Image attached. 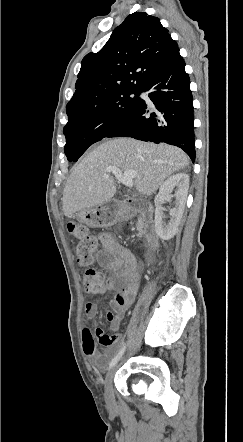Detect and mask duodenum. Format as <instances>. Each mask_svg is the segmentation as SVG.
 <instances>
[{"mask_svg": "<svg viewBox=\"0 0 243 442\" xmlns=\"http://www.w3.org/2000/svg\"><path fill=\"white\" fill-rule=\"evenodd\" d=\"M143 205H144L143 203L137 202L136 200H134L132 198H127L122 201L121 209L122 210L125 209L129 212L138 211L143 214L142 218L140 219V226H141L144 238L146 239V241L149 244L152 245V244H154V242L156 240L155 230L153 227L152 220L147 216V209L142 208Z\"/></svg>", "mask_w": 243, "mask_h": 442, "instance_id": "duodenum-1", "label": "duodenum"}]
</instances>
